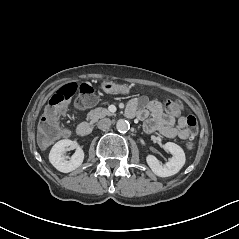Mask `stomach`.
Wrapping results in <instances>:
<instances>
[{
	"label": "stomach",
	"mask_w": 239,
	"mask_h": 239,
	"mask_svg": "<svg viewBox=\"0 0 239 239\" xmlns=\"http://www.w3.org/2000/svg\"><path fill=\"white\" fill-rule=\"evenodd\" d=\"M101 88L108 94H128L129 87L127 84H116L114 82H103Z\"/></svg>",
	"instance_id": "stomach-1"
}]
</instances>
